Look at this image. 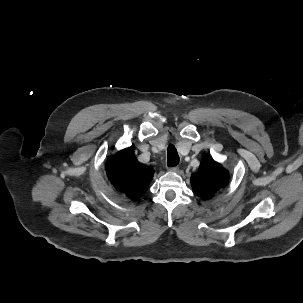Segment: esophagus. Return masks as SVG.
Returning <instances> with one entry per match:
<instances>
[{"mask_svg":"<svg viewBox=\"0 0 303 303\" xmlns=\"http://www.w3.org/2000/svg\"><path fill=\"white\" fill-rule=\"evenodd\" d=\"M170 171H173V172H179V167L175 166V167H171L169 168Z\"/></svg>","mask_w":303,"mask_h":303,"instance_id":"obj_1","label":"esophagus"}]
</instances>
